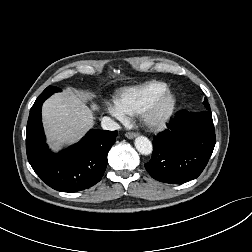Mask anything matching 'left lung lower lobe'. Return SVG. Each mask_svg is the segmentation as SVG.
<instances>
[{"label": "left lung lower lobe", "mask_w": 252, "mask_h": 252, "mask_svg": "<svg viewBox=\"0 0 252 252\" xmlns=\"http://www.w3.org/2000/svg\"><path fill=\"white\" fill-rule=\"evenodd\" d=\"M211 110L179 111L167 129L153 139V154L145 164L156 180L179 184L197 178L215 146Z\"/></svg>", "instance_id": "0a47b994"}]
</instances>
